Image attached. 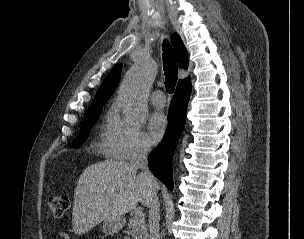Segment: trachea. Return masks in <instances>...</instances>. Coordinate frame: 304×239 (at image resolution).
<instances>
[{"label":"trachea","instance_id":"3493384b","mask_svg":"<svg viewBox=\"0 0 304 239\" xmlns=\"http://www.w3.org/2000/svg\"><path fill=\"white\" fill-rule=\"evenodd\" d=\"M163 47V67L165 75V88L168 93H173L177 82V62L171 44L165 40Z\"/></svg>","mask_w":304,"mask_h":239}]
</instances>
